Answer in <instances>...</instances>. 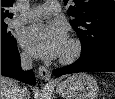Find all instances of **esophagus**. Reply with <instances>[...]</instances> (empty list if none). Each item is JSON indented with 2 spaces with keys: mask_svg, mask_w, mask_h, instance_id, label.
<instances>
[{
  "mask_svg": "<svg viewBox=\"0 0 115 99\" xmlns=\"http://www.w3.org/2000/svg\"><path fill=\"white\" fill-rule=\"evenodd\" d=\"M38 73H39L41 79H43L44 81H46L48 83H53V81L51 79V73L46 67L40 66L38 68Z\"/></svg>",
  "mask_w": 115,
  "mask_h": 99,
  "instance_id": "1",
  "label": "esophagus"
}]
</instances>
